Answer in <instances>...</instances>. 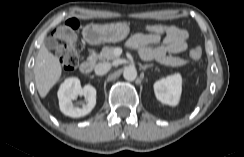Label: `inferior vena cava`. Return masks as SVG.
Instances as JSON below:
<instances>
[{"label": "inferior vena cava", "instance_id": "1", "mask_svg": "<svg viewBox=\"0 0 244 157\" xmlns=\"http://www.w3.org/2000/svg\"><path fill=\"white\" fill-rule=\"evenodd\" d=\"M111 69V64L108 62H101L95 66L96 75H104Z\"/></svg>", "mask_w": 244, "mask_h": 157}]
</instances>
